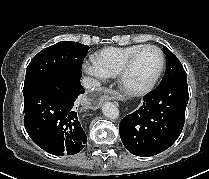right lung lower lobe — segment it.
Here are the masks:
<instances>
[{
	"instance_id": "1",
	"label": "right lung lower lobe",
	"mask_w": 209,
	"mask_h": 179,
	"mask_svg": "<svg viewBox=\"0 0 209 179\" xmlns=\"http://www.w3.org/2000/svg\"><path fill=\"white\" fill-rule=\"evenodd\" d=\"M85 90L80 78L61 75L39 86L24 100V125L30 138L53 155H73L86 143L74 102Z\"/></svg>"
}]
</instances>
